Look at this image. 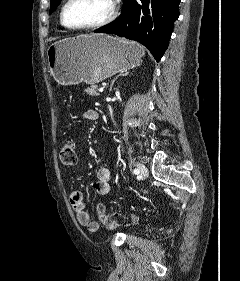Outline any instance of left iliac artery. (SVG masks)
Instances as JSON below:
<instances>
[{"label": "left iliac artery", "mask_w": 240, "mask_h": 281, "mask_svg": "<svg viewBox=\"0 0 240 281\" xmlns=\"http://www.w3.org/2000/svg\"><path fill=\"white\" fill-rule=\"evenodd\" d=\"M133 172H134V174H139V173H140L139 169H137V168H135V169L133 170Z\"/></svg>", "instance_id": "1"}]
</instances>
